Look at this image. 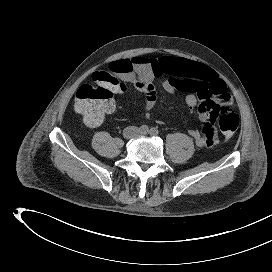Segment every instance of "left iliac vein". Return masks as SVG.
<instances>
[{
  "label": "left iliac vein",
  "instance_id": "4c4485c4",
  "mask_svg": "<svg viewBox=\"0 0 272 272\" xmlns=\"http://www.w3.org/2000/svg\"><path fill=\"white\" fill-rule=\"evenodd\" d=\"M140 135H145V134H143V133H140Z\"/></svg>",
  "mask_w": 272,
  "mask_h": 272
}]
</instances>
